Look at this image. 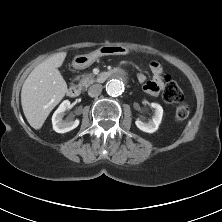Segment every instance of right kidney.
Instances as JSON below:
<instances>
[{
  "mask_svg": "<svg viewBox=\"0 0 222 222\" xmlns=\"http://www.w3.org/2000/svg\"><path fill=\"white\" fill-rule=\"evenodd\" d=\"M70 108V101H63L57 110L54 112L52 116V124L53 129L57 133H66L73 129H75L79 125V120H73L72 118H68L67 120H63V116L66 110Z\"/></svg>",
  "mask_w": 222,
  "mask_h": 222,
  "instance_id": "obj_1",
  "label": "right kidney"
}]
</instances>
